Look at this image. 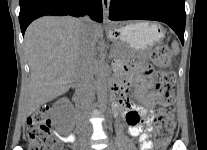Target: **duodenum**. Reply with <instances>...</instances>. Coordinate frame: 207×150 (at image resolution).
<instances>
[{"label":"duodenum","instance_id":"1","mask_svg":"<svg viewBox=\"0 0 207 150\" xmlns=\"http://www.w3.org/2000/svg\"><path fill=\"white\" fill-rule=\"evenodd\" d=\"M110 89H111L112 97L114 100L115 91H116V84L115 83L111 84Z\"/></svg>","mask_w":207,"mask_h":150}]
</instances>
